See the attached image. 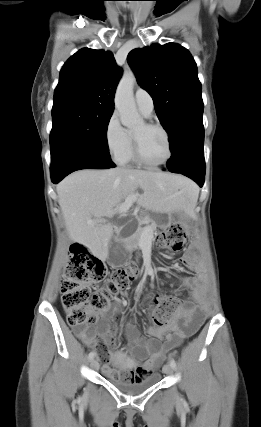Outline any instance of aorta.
I'll return each mask as SVG.
<instances>
[{"label": "aorta", "instance_id": "762f6f07", "mask_svg": "<svg viewBox=\"0 0 261 427\" xmlns=\"http://www.w3.org/2000/svg\"><path fill=\"white\" fill-rule=\"evenodd\" d=\"M135 81L134 73L131 70L125 71L115 94V107L119 112L121 123L128 128H137L144 123L137 112L134 100L133 87Z\"/></svg>", "mask_w": 261, "mask_h": 427}]
</instances>
